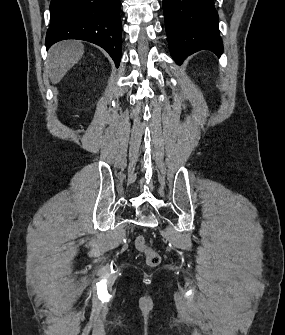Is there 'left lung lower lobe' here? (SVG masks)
Segmentation results:
<instances>
[{
	"label": "left lung lower lobe",
	"instance_id": "1",
	"mask_svg": "<svg viewBox=\"0 0 285 335\" xmlns=\"http://www.w3.org/2000/svg\"><path fill=\"white\" fill-rule=\"evenodd\" d=\"M163 10L170 52L177 64L200 50L222 54L214 0H163Z\"/></svg>",
	"mask_w": 285,
	"mask_h": 335
}]
</instances>
